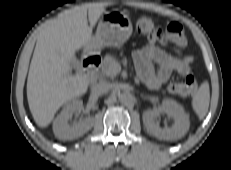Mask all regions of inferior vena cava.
<instances>
[{
  "label": "inferior vena cava",
  "mask_w": 231,
  "mask_h": 170,
  "mask_svg": "<svg viewBox=\"0 0 231 170\" xmlns=\"http://www.w3.org/2000/svg\"><path fill=\"white\" fill-rule=\"evenodd\" d=\"M110 89H111V85L109 83L101 82L94 86L93 92L94 94L99 96V95L106 94Z\"/></svg>",
  "instance_id": "1"
}]
</instances>
